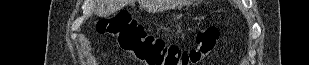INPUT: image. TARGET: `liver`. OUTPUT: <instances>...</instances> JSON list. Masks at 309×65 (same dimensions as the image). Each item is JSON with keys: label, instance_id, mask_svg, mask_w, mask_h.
I'll return each instance as SVG.
<instances>
[{"label": "liver", "instance_id": "liver-1", "mask_svg": "<svg viewBox=\"0 0 309 65\" xmlns=\"http://www.w3.org/2000/svg\"><path fill=\"white\" fill-rule=\"evenodd\" d=\"M139 3L149 11L160 8V5L155 0H140ZM94 4L96 14L100 17H106L123 8L127 2L126 0H95Z\"/></svg>", "mask_w": 309, "mask_h": 65}]
</instances>
